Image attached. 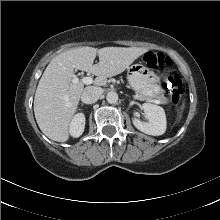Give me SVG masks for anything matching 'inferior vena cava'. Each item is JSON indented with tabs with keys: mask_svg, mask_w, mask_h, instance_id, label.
<instances>
[{
	"mask_svg": "<svg viewBox=\"0 0 220 220\" xmlns=\"http://www.w3.org/2000/svg\"><path fill=\"white\" fill-rule=\"evenodd\" d=\"M102 89L96 86H88L83 90L81 99L86 104H92L99 100Z\"/></svg>",
	"mask_w": 220,
	"mask_h": 220,
	"instance_id": "inferior-vena-cava-1",
	"label": "inferior vena cava"
}]
</instances>
